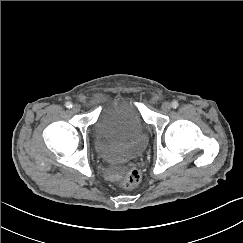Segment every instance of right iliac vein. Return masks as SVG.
<instances>
[{
	"instance_id": "right-iliac-vein-1",
	"label": "right iliac vein",
	"mask_w": 243,
	"mask_h": 243,
	"mask_svg": "<svg viewBox=\"0 0 243 243\" xmlns=\"http://www.w3.org/2000/svg\"><path fill=\"white\" fill-rule=\"evenodd\" d=\"M80 110H81L80 105H78V104H74V105L72 106V111H73V112L77 113V112H79Z\"/></svg>"
}]
</instances>
